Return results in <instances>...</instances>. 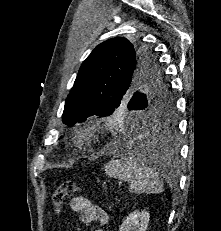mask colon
Instances as JSON below:
<instances>
[{"label":"colon","instance_id":"colon-1","mask_svg":"<svg viewBox=\"0 0 221 231\" xmlns=\"http://www.w3.org/2000/svg\"><path fill=\"white\" fill-rule=\"evenodd\" d=\"M80 187L73 181H65L61 183L53 193V205L57 214H62L66 198L79 192Z\"/></svg>","mask_w":221,"mask_h":231}]
</instances>
